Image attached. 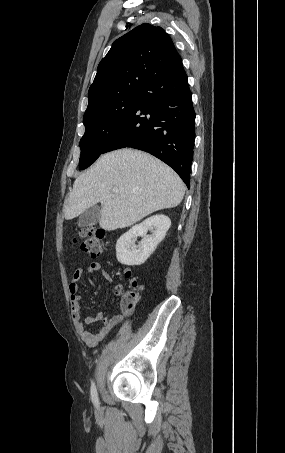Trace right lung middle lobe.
I'll use <instances>...</instances> for the list:
<instances>
[{
	"label": "right lung middle lobe",
	"mask_w": 285,
	"mask_h": 453,
	"mask_svg": "<svg viewBox=\"0 0 285 453\" xmlns=\"http://www.w3.org/2000/svg\"><path fill=\"white\" fill-rule=\"evenodd\" d=\"M141 92H131L109 99L85 111V134L80 141V168L89 167L104 153L109 141L124 124L139 102Z\"/></svg>",
	"instance_id": "dd1d6c3e"
}]
</instances>
